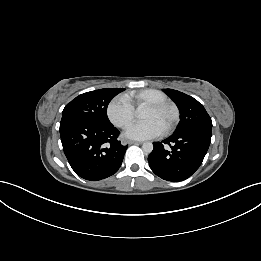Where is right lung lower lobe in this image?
I'll list each match as a JSON object with an SVG mask.
<instances>
[{"instance_id":"98d812e1","label":"right lung lower lobe","mask_w":261,"mask_h":261,"mask_svg":"<svg viewBox=\"0 0 261 261\" xmlns=\"http://www.w3.org/2000/svg\"><path fill=\"white\" fill-rule=\"evenodd\" d=\"M119 133L112 124L70 116H63L60 122L61 142L70 166L90 181L105 179L120 168L128 146L117 139Z\"/></svg>"}]
</instances>
